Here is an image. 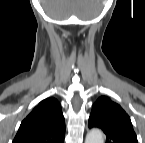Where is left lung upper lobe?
I'll use <instances>...</instances> for the list:
<instances>
[{"instance_id":"1","label":"left lung upper lobe","mask_w":145,"mask_h":143,"mask_svg":"<svg viewBox=\"0 0 145 143\" xmlns=\"http://www.w3.org/2000/svg\"><path fill=\"white\" fill-rule=\"evenodd\" d=\"M88 125L101 128L106 134V143H138L127 113L106 96L94 103Z\"/></svg>"}]
</instances>
